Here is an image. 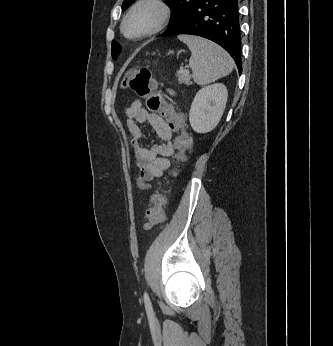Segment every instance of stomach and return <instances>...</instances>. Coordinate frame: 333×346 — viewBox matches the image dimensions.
I'll use <instances>...</instances> for the list:
<instances>
[{"instance_id":"obj_1","label":"stomach","mask_w":333,"mask_h":346,"mask_svg":"<svg viewBox=\"0 0 333 346\" xmlns=\"http://www.w3.org/2000/svg\"><path fill=\"white\" fill-rule=\"evenodd\" d=\"M171 54H173L174 52L173 51H170Z\"/></svg>"}]
</instances>
